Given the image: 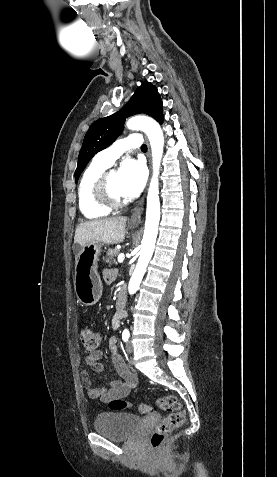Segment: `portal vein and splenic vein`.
<instances>
[{
  "label": "portal vein and splenic vein",
  "mask_w": 277,
  "mask_h": 477,
  "mask_svg": "<svg viewBox=\"0 0 277 477\" xmlns=\"http://www.w3.org/2000/svg\"><path fill=\"white\" fill-rule=\"evenodd\" d=\"M124 258H125L124 253H120V254L118 255L117 260H118L119 263H121V262H123Z\"/></svg>",
  "instance_id": "portal-vein-and-splenic-vein-1"
}]
</instances>
